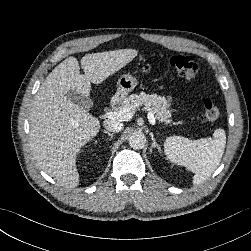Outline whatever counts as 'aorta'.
Here are the masks:
<instances>
[{"mask_svg":"<svg viewBox=\"0 0 251 251\" xmlns=\"http://www.w3.org/2000/svg\"><path fill=\"white\" fill-rule=\"evenodd\" d=\"M128 142L131 148L137 150L144 148L146 139L144 134L135 132L129 136Z\"/></svg>","mask_w":251,"mask_h":251,"instance_id":"762f6f07","label":"aorta"}]
</instances>
